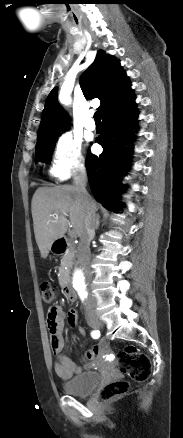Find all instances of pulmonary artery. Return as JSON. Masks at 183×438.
<instances>
[{"instance_id": "obj_1", "label": "pulmonary artery", "mask_w": 183, "mask_h": 438, "mask_svg": "<svg viewBox=\"0 0 183 438\" xmlns=\"http://www.w3.org/2000/svg\"><path fill=\"white\" fill-rule=\"evenodd\" d=\"M85 127L87 130L94 131L96 129V124L91 118V115L88 116V118L85 121Z\"/></svg>"}]
</instances>
